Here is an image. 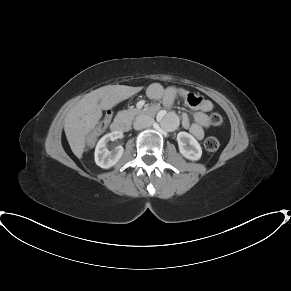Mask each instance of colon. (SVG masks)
<instances>
[{
  "label": "colon",
  "instance_id": "1",
  "mask_svg": "<svg viewBox=\"0 0 291 291\" xmlns=\"http://www.w3.org/2000/svg\"><path fill=\"white\" fill-rule=\"evenodd\" d=\"M112 116L111 114L106 115L104 123L110 122ZM224 119L221 114L214 112L209 115V124L212 126H219L223 123ZM205 149L208 152H215L219 148V141L215 137H208L204 142Z\"/></svg>",
  "mask_w": 291,
  "mask_h": 291
}]
</instances>
